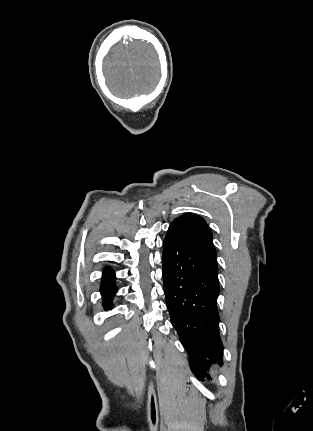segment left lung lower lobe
Masks as SVG:
<instances>
[{
  "label": "left lung lower lobe",
  "mask_w": 313,
  "mask_h": 431,
  "mask_svg": "<svg viewBox=\"0 0 313 431\" xmlns=\"http://www.w3.org/2000/svg\"><path fill=\"white\" fill-rule=\"evenodd\" d=\"M162 275L171 323L189 354V365L199 380L212 363L220 361L218 265L216 257L169 228L163 241Z\"/></svg>",
  "instance_id": "0a47b994"
}]
</instances>
